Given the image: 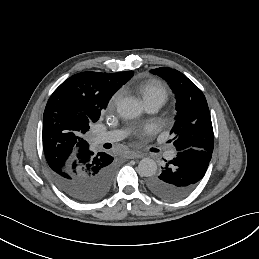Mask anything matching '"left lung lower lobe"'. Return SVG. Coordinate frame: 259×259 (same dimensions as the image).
<instances>
[{
  "instance_id": "0a47b994",
  "label": "left lung lower lobe",
  "mask_w": 259,
  "mask_h": 259,
  "mask_svg": "<svg viewBox=\"0 0 259 259\" xmlns=\"http://www.w3.org/2000/svg\"><path fill=\"white\" fill-rule=\"evenodd\" d=\"M212 152L189 148L178 150L176 158L166 161L159 176L147 181L150 192L165 200H180L188 196L204 177Z\"/></svg>"
}]
</instances>
